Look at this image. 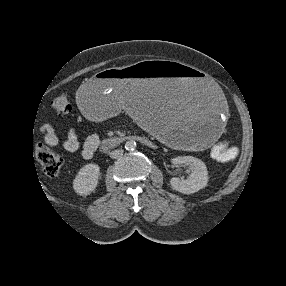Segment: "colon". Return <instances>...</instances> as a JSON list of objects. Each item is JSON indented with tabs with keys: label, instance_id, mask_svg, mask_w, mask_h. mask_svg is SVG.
I'll return each instance as SVG.
<instances>
[{
	"label": "colon",
	"instance_id": "1",
	"mask_svg": "<svg viewBox=\"0 0 286 286\" xmlns=\"http://www.w3.org/2000/svg\"><path fill=\"white\" fill-rule=\"evenodd\" d=\"M52 110L59 116H65L71 112L72 105L69 96L60 95L51 102ZM229 141L224 144H218L213 147L212 155L220 160H229L231 154L229 152ZM36 157L43 169V172L50 177L56 176L63 164L62 156L56 151L44 146L38 145L36 147Z\"/></svg>",
	"mask_w": 286,
	"mask_h": 286
}]
</instances>
